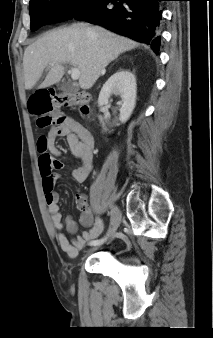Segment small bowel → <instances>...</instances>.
Returning <instances> with one entry per match:
<instances>
[{
  "mask_svg": "<svg viewBox=\"0 0 213 338\" xmlns=\"http://www.w3.org/2000/svg\"><path fill=\"white\" fill-rule=\"evenodd\" d=\"M59 137H66L70 152L81 161L80 166L73 170V178L81 183L89 176L93 167V149L94 137L91 132L84 127L79 121L72 117H65L60 126L49 129L47 134L37 137V150L39 156V170L43 183L45 203L49 212L51 225L55 233L56 240L61 250L69 258H75L85 247L87 242L98 237L104 227L101 219L97 218L94 222L89 216V206L84 195H77L75 204L77 209L84 212L80 223L86 230L76 235L70 242L64 233V223L59 208V193L54 189V182L60 177L53 171L63 168V162L59 160L62 152L56 146V140ZM50 185V189H47ZM66 229L70 234H76L78 231L77 224L70 218L66 220Z\"/></svg>",
  "mask_w": 213,
  "mask_h": 338,
  "instance_id": "obj_1",
  "label": "small bowel"
}]
</instances>
